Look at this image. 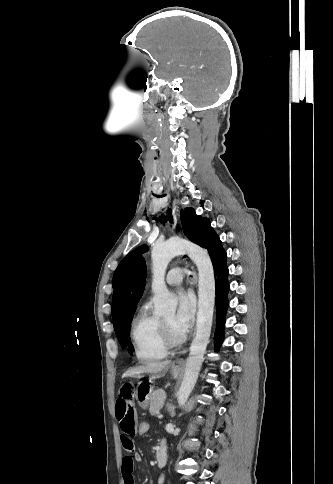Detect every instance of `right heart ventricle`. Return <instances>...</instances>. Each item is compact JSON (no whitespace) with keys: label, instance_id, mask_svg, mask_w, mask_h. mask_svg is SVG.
<instances>
[{"label":"right heart ventricle","instance_id":"1","mask_svg":"<svg viewBox=\"0 0 333 484\" xmlns=\"http://www.w3.org/2000/svg\"><path fill=\"white\" fill-rule=\"evenodd\" d=\"M131 336L136 357L143 363L163 359L167 346L163 340L160 319L143 304L137 311L131 326Z\"/></svg>","mask_w":333,"mask_h":484}]
</instances>
